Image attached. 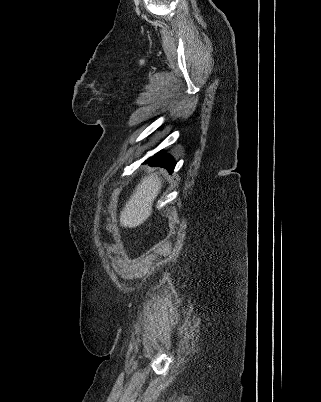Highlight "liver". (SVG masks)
Returning a JSON list of instances; mask_svg holds the SVG:
<instances>
[{"instance_id":"liver-1","label":"liver","mask_w":321,"mask_h":402,"mask_svg":"<svg viewBox=\"0 0 321 402\" xmlns=\"http://www.w3.org/2000/svg\"><path fill=\"white\" fill-rule=\"evenodd\" d=\"M161 187L162 181L157 173L142 178L120 213V225L135 228L143 224L152 214V205Z\"/></svg>"}]
</instances>
